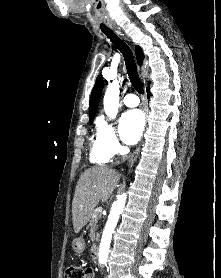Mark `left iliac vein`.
<instances>
[{
  "label": "left iliac vein",
  "instance_id": "4c4485c4",
  "mask_svg": "<svg viewBox=\"0 0 221 278\" xmlns=\"http://www.w3.org/2000/svg\"><path fill=\"white\" fill-rule=\"evenodd\" d=\"M105 278H110L109 275H106Z\"/></svg>",
  "mask_w": 221,
  "mask_h": 278
}]
</instances>
